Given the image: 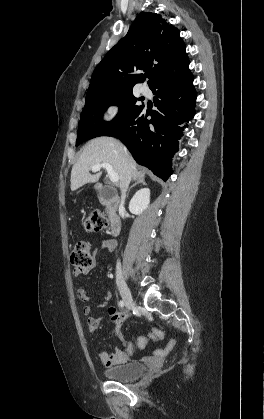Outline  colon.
I'll return each mask as SVG.
<instances>
[{"label":"colon","mask_w":264,"mask_h":419,"mask_svg":"<svg viewBox=\"0 0 264 419\" xmlns=\"http://www.w3.org/2000/svg\"><path fill=\"white\" fill-rule=\"evenodd\" d=\"M107 227V220L104 215L100 213L91 214L86 222L85 228L90 232H98ZM70 263L76 268H90L94 263V256L90 244L87 241H78L70 253ZM157 331H151L148 335L139 336L135 343H130L131 346L143 349L149 340L155 341Z\"/></svg>","instance_id":"1"}]
</instances>
